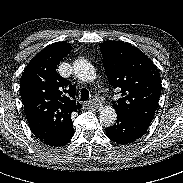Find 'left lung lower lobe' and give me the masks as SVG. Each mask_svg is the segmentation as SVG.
I'll return each mask as SVG.
<instances>
[{"label":"left lung lower lobe","instance_id":"left-lung-lower-lobe-1","mask_svg":"<svg viewBox=\"0 0 183 183\" xmlns=\"http://www.w3.org/2000/svg\"><path fill=\"white\" fill-rule=\"evenodd\" d=\"M149 125L150 123L143 119L117 113L116 123L106 128V135L116 143L128 144L142 137Z\"/></svg>","mask_w":183,"mask_h":183}]
</instances>
